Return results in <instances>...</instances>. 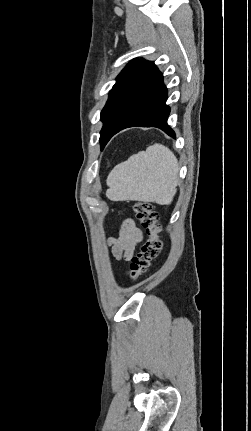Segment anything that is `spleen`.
Returning <instances> with one entry per match:
<instances>
[{
    "mask_svg": "<svg viewBox=\"0 0 251 431\" xmlns=\"http://www.w3.org/2000/svg\"><path fill=\"white\" fill-rule=\"evenodd\" d=\"M178 171V160L168 147L154 144L113 168L106 196L168 205L177 192Z\"/></svg>",
    "mask_w": 251,
    "mask_h": 431,
    "instance_id": "obj_1",
    "label": "spleen"
}]
</instances>
